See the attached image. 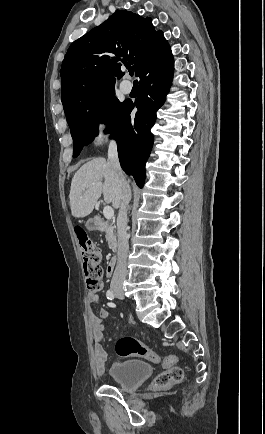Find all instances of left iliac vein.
Returning a JSON list of instances; mask_svg holds the SVG:
<instances>
[{"instance_id":"left-iliac-vein-1","label":"left iliac vein","mask_w":265,"mask_h":434,"mask_svg":"<svg viewBox=\"0 0 265 434\" xmlns=\"http://www.w3.org/2000/svg\"><path fill=\"white\" fill-rule=\"evenodd\" d=\"M116 292V297L118 299H123L124 298V293L123 291H115Z\"/></svg>"}]
</instances>
